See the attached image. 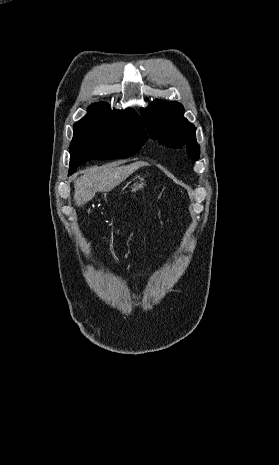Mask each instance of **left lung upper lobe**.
Returning <instances> with one entry per match:
<instances>
[{"mask_svg": "<svg viewBox=\"0 0 279 465\" xmlns=\"http://www.w3.org/2000/svg\"><path fill=\"white\" fill-rule=\"evenodd\" d=\"M183 114V106L173 101H153L149 107L141 109L142 120L153 139L173 148L186 145L187 153L198 160L200 146L196 142V128Z\"/></svg>", "mask_w": 279, "mask_h": 465, "instance_id": "left-lung-upper-lobe-1", "label": "left lung upper lobe"}]
</instances>
